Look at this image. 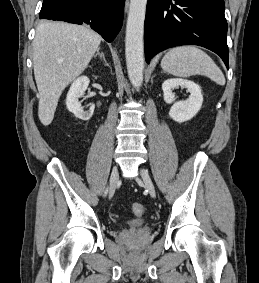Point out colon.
Wrapping results in <instances>:
<instances>
[{"instance_id": "5ec220e1", "label": "colon", "mask_w": 259, "mask_h": 283, "mask_svg": "<svg viewBox=\"0 0 259 283\" xmlns=\"http://www.w3.org/2000/svg\"><path fill=\"white\" fill-rule=\"evenodd\" d=\"M132 212L136 215V216H142L145 212V207L144 205L140 204V203H134L131 206Z\"/></svg>"}]
</instances>
